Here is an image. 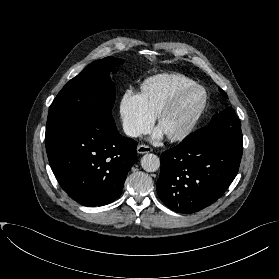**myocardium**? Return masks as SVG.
Segmentation results:
<instances>
[{
	"mask_svg": "<svg viewBox=\"0 0 279 279\" xmlns=\"http://www.w3.org/2000/svg\"><path fill=\"white\" fill-rule=\"evenodd\" d=\"M200 90L203 93V100L201 105L199 106L198 110L194 114L191 121L188 125L182 129L181 131L173 134H165L167 139L172 142H180L189 137L192 132L195 130L196 126L198 125L200 119L202 118L207 104H208V94L205 88L201 85H193L187 87L180 92H178L166 105L165 107L157 114L156 116V123L157 126L160 127L161 123L164 121L166 117H168L171 113H173L176 108L180 105V103L187 97L190 93Z\"/></svg>",
	"mask_w": 279,
	"mask_h": 279,
	"instance_id": "myocardium-1",
	"label": "myocardium"
}]
</instances>
